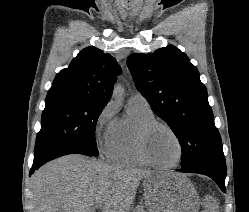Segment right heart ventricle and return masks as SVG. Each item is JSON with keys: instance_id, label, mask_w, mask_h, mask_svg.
Here are the masks:
<instances>
[{"instance_id": "right-heart-ventricle-1", "label": "right heart ventricle", "mask_w": 249, "mask_h": 212, "mask_svg": "<svg viewBox=\"0 0 249 212\" xmlns=\"http://www.w3.org/2000/svg\"><path fill=\"white\" fill-rule=\"evenodd\" d=\"M127 113V118L115 121L112 143L106 155L110 160L117 163L146 166L147 164L138 154L135 134L141 124L155 120V115L150 107L133 103H128Z\"/></svg>"}]
</instances>
